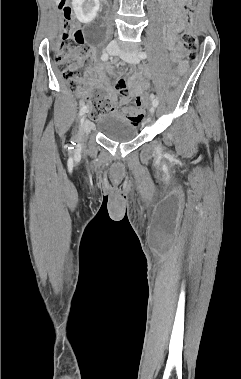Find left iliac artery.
<instances>
[{
  "instance_id": "obj_1",
  "label": "left iliac artery",
  "mask_w": 241,
  "mask_h": 379,
  "mask_svg": "<svg viewBox=\"0 0 241 379\" xmlns=\"http://www.w3.org/2000/svg\"><path fill=\"white\" fill-rule=\"evenodd\" d=\"M138 56L141 58V59H145L147 58V54L146 52H143V51H139L138 52ZM152 98H153V101H152V104L153 106H157L158 105V99L154 97V95H152Z\"/></svg>"
}]
</instances>
